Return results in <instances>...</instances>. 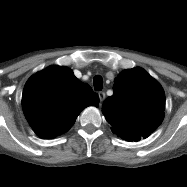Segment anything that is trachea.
<instances>
[{
  "mask_svg": "<svg viewBox=\"0 0 187 187\" xmlns=\"http://www.w3.org/2000/svg\"><path fill=\"white\" fill-rule=\"evenodd\" d=\"M94 89L95 91H100L103 88V79L101 76L97 75L93 79Z\"/></svg>",
  "mask_w": 187,
  "mask_h": 187,
  "instance_id": "1",
  "label": "trachea"
}]
</instances>
